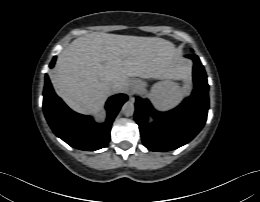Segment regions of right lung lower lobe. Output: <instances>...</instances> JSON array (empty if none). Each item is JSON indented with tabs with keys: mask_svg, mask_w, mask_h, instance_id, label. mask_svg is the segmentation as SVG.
Instances as JSON below:
<instances>
[{
	"mask_svg": "<svg viewBox=\"0 0 260 202\" xmlns=\"http://www.w3.org/2000/svg\"><path fill=\"white\" fill-rule=\"evenodd\" d=\"M55 60L56 57L50 63V68L54 66ZM126 100V94L110 97L106 103V122L98 124L91 116L78 114L68 108L55 94L49 77L45 76L43 110L48 124L56 136L80 150L95 151L107 145L112 122Z\"/></svg>",
	"mask_w": 260,
	"mask_h": 202,
	"instance_id": "1",
	"label": "right lung lower lobe"
}]
</instances>
